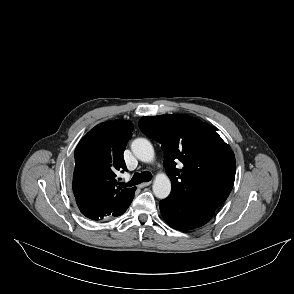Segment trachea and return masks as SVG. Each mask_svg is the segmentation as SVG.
<instances>
[{"label": "trachea", "instance_id": "1", "mask_svg": "<svg viewBox=\"0 0 294 294\" xmlns=\"http://www.w3.org/2000/svg\"><path fill=\"white\" fill-rule=\"evenodd\" d=\"M151 179H152V174L148 171L135 173L130 182H128L127 184L123 183V187L137 185L142 182H148Z\"/></svg>", "mask_w": 294, "mask_h": 294}]
</instances>
